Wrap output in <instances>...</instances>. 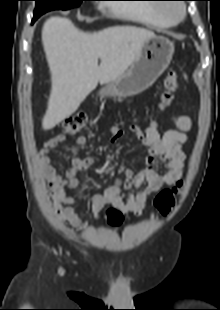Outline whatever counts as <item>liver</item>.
<instances>
[{"label":"liver","instance_id":"6515ba94","mask_svg":"<svg viewBox=\"0 0 220 310\" xmlns=\"http://www.w3.org/2000/svg\"><path fill=\"white\" fill-rule=\"evenodd\" d=\"M155 36L153 31L133 26L88 33L67 18H49L43 25L42 43L51 73V91L42 128L52 129L72 115L98 82L109 83L121 76L144 42Z\"/></svg>","mask_w":220,"mask_h":310}]
</instances>
